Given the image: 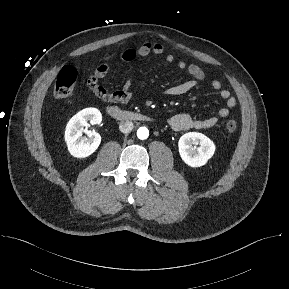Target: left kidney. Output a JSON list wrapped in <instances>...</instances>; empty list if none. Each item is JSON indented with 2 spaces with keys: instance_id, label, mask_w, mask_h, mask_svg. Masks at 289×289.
<instances>
[{
  "instance_id": "obj_1",
  "label": "left kidney",
  "mask_w": 289,
  "mask_h": 289,
  "mask_svg": "<svg viewBox=\"0 0 289 289\" xmlns=\"http://www.w3.org/2000/svg\"><path fill=\"white\" fill-rule=\"evenodd\" d=\"M193 145H199V147ZM178 147L182 160L191 167L205 165L215 152L213 141L198 132H189L181 136Z\"/></svg>"
}]
</instances>
